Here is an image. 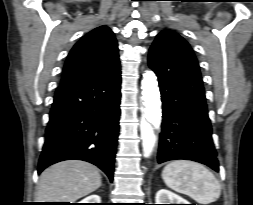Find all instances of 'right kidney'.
I'll return each mask as SVG.
<instances>
[{
  "mask_svg": "<svg viewBox=\"0 0 253 205\" xmlns=\"http://www.w3.org/2000/svg\"><path fill=\"white\" fill-rule=\"evenodd\" d=\"M79 203H101V198L100 196L93 194V195L87 196Z\"/></svg>",
  "mask_w": 253,
  "mask_h": 205,
  "instance_id": "right-kidney-1",
  "label": "right kidney"
}]
</instances>
